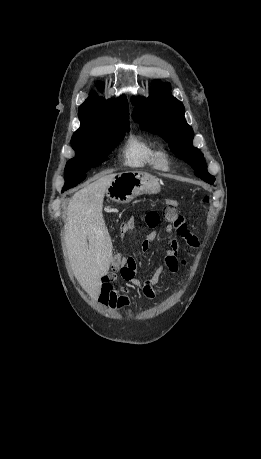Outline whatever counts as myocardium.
<instances>
[{"label": "myocardium", "mask_w": 261, "mask_h": 459, "mask_svg": "<svg viewBox=\"0 0 261 459\" xmlns=\"http://www.w3.org/2000/svg\"><path fill=\"white\" fill-rule=\"evenodd\" d=\"M157 168L161 171H169L172 165V158L170 153L163 148H160L156 156Z\"/></svg>", "instance_id": "myocardium-1"}]
</instances>
